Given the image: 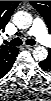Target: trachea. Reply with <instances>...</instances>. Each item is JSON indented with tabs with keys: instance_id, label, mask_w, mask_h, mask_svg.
Returning a JSON list of instances; mask_svg holds the SVG:
<instances>
[{
	"instance_id": "3493384b",
	"label": "trachea",
	"mask_w": 51,
	"mask_h": 101,
	"mask_svg": "<svg viewBox=\"0 0 51 101\" xmlns=\"http://www.w3.org/2000/svg\"><path fill=\"white\" fill-rule=\"evenodd\" d=\"M26 44L34 45L35 41L33 39H27L26 40ZM7 45H10V46H20V45H22V40L20 38H15V39L11 40L10 42H8Z\"/></svg>"
}]
</instances>
